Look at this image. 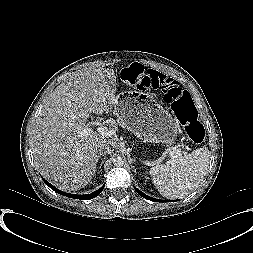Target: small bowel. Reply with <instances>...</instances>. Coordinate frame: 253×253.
Instances as JSON below:
<instances>
[{
	"label": "small bowel",
	"mask_w": 253,
	"mask_h": 253,
	"mask_svg": "<svg viewBox=\"0 0 253 253\" xmlns=\"http://www.w3.org/2000/svg\"><path fill=\"white\" fill-rule=\"evenodd\" d=\"M172 86H180L179 83L170 76L158 72L156 70H148L144 80L140 82L137 87L163 90Z\"/></svg>",
	"instance_id": "small-bowel-1"
}]
</instances>
